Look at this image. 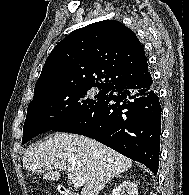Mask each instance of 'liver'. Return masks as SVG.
Returning <instances> with one entry per match:
<instances>
[{
	"mask_svg": "<svg viewBox=\"0 0 189 195\" xmlns=\"http://www.w3.org/2000/svg\"><path fill=\"white\" fill-rule=\"evenodd\" d=\"M23 167L57 181L60 171H68L85 183L81 195H98L106 183L132 167V160L85 136L55 133L36 147L26 151ZM52 167V169H50ZM55 169V171H53Z\"/></svg>",
	"mask_w": 189,
	"mask_h": 195,
	"instance_id": "obj_1",
	"label": "liver"
}]
</instances>
